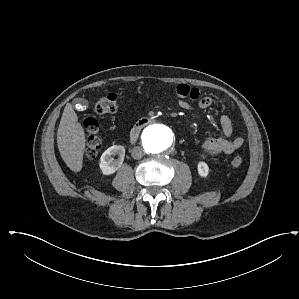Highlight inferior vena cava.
Masks as SVG:
<instances>
[{"instance_id":"obj_1","label":"inferior vena cava","mask_w":299,"mask_h":299,"mask_svg":"<svg viewBox=\"0 0 299 299\" xmlns=\"http://www.w3.org/2000/svg\"><path fill=\"white\" fill-rule=\"evenodd\" d=\"M131 155L134 159H141L144 155V151L141 147L136 146L131 150Z\"/></svg>"}]
</instances>
